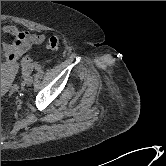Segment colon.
<instances>
[{
  "label": "colon",
  "instance_id": "obj_1",
  "mask_svg": "<svg viewBox=\"0 0 166 166\" xmlns=\"http://www.w3.org/2000/svg\"><path fill=\"white\" fill-rule=\"evenodd\" d=\"M60 46V39L56 36L49 37L44 44V47L48 51H56ZM33 59L30 56H25L20 64L22 76L26 75L32 65ZM18 88V85H14L12 91H15Z\"/></svg>",
  "mask_w": 166,
  "mask_h": 166
}]
</instances>
